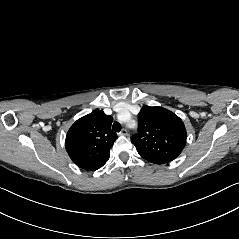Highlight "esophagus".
<instances>
[{
	"instance_id": "esophagus-1",
	"label": "esophagus",
	"mask_w": 239,
	"mask_h": 239,
	"mask_svg": "<svg viewBox=\"0 0 239 239\" xmlns=\"http://www.w3.org/2000/svg\"><path fill=\"white\" fill-rule=\"evenodd\" d=\"M120 135H127L128 134V131L127 129H122L121 132L119 133Z\"/></svg>"
}]
</instances>
